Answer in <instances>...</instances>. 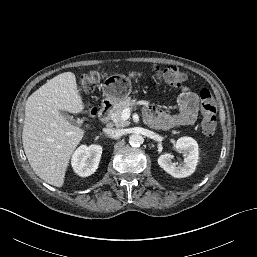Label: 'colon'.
<instances>
[{
	"mask_svg": "<svg viewBox=\"0 0 257 257\" xmlns=\"http://www.w3.org/2000/svg\"><path fill=\"white\" fill-rule=\"evenodd\" d=\"M153 75L161 82H165L169 85L179 86L187 79L186 73L176 67H169L166 69H155ZM142 76V72H131L130 77L133 79H139ZM104 77V74L91 70L81 76L80 87L86 92L92 91L97 83ZM199 98L201 102V129L204 134L211 136L216 129V104L211 92L207 88H202L199 91ZM91 114L94 110H89Z\"/></svg>",
	"mask_w": 257,
	"mask_h": 257,
	"instance_id": "obj_1",
	"label": "colon"
}]
</instances>
